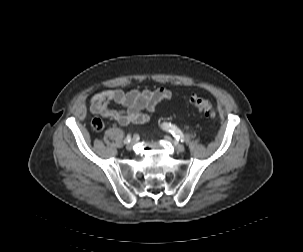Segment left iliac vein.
Wrapping results in <instances>:
<instances>
[{
    "label": "left iliac vein",
    "mask_w": 303,
    "mask_h": 252,
    "mask_svg": "<svg viewBox=\"0 0 303 252\" xmlns=\"http://www.w3.org/2000/svg\"><path fill=\"white\" fill-rule=\"evenodd\" d=\"M165 140L167 142H171L177 152H179V153L184 152V146L181 143H179L178 141H172L169 136H165Z\"/></svg>",
    "instance_id": "1"
}]
</instances>
